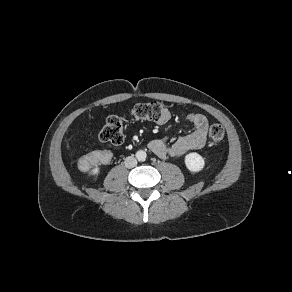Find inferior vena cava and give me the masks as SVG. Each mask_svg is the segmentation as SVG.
<instances>
[{
    "mask_svg": "<svg viewBox=\"0 0 292 292\" xmlns=\"http://www.w3.org/2000/svg\"><path fill=\"white\" fill-rule=\"evenodd\" d=\"M124 163H125L126 168H133L137 165V160L133 156H128L126 157Z\"/></svg>",
    "mask_w": 292,
    "mask_h": 292,
    "instance_id": "obj_1",
    "label": "inferior vena cava"
}]
</instances>
